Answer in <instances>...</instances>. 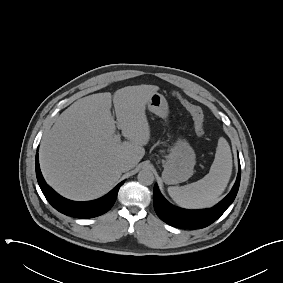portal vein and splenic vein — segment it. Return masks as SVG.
<instances>
[{
  "label": "portal vein and splenic vein",
  "mask_w": 283,
  "mask_h": 283,
  "mask_svg": "<svg viewBox=\"0 0 283 283\" xmlns=\"http://www.w3.org/2000/svg\"><path fill=\"white\" fill-rule=\"evenodd\" d=\"M115 138H116L117 140H119V139H120V135H119V134H116V135H115Z\"/></svg>",
  "instance_id": "18ae733b"
}]
</instances>
